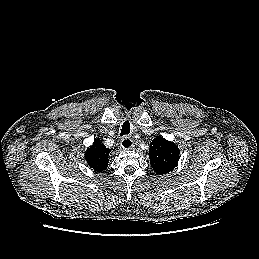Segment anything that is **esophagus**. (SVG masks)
Listing matches in <instances>:
<instances>
[{"instance_id": "34e87169", "label": "esophagus", "mask_w": 259, "mask_h": 259, "mask_svg": "<svg viewBox=\"0 0 259 259\" xmlns=\"http://www.w3.org/2000/svg\"><path fill=\"white\" fill-rule=\"evenodd\" d=\"M121 147L124 150H130V149H133L134 143L130 138L126 137L121 140Z\"/></svg>"}]
</instances>
